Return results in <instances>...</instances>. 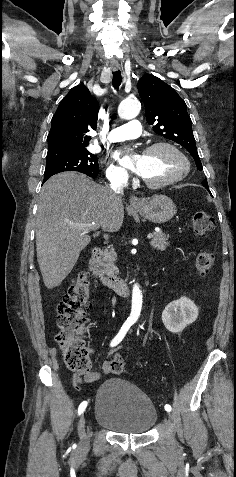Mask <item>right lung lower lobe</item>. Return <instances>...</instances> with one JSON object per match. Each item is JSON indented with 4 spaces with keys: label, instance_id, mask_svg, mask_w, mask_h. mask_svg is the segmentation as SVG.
Wrapping results in <instances>:
<instances>
[{
    "label": "right lung lower lobe",
    "instance_id": "1",
    "mask_svg": "<svg viewBox=\"0 0 236 477\" xmlns=\"http://www.w3.org/2000/svg\"><path fill=\"white\" fill-rule=\"evenodd\" d=\"M48 178H44L43 183L47 180Z\"/></svg>",
    "mask_w": 236,
    "mask_h": 477
}]
</instances>
